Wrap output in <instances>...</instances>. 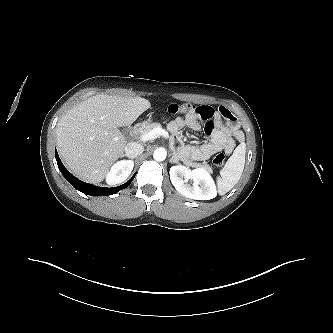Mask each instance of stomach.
Listing matches in <instances>:
<instances>
[{
    "label": "stomach",
    "mask_w": 333,
    "mask_h": 333,
    "mask_svg": "<svg viewBox=\"0 0 333 333\" xmlns=\"http://www.w3.org/2000/svg\"><path fill=\"white\" fill-rule=\"evenodd\" d=\"M151 120V117L148 119V121H150Z\"/></svg>",
    "instance_id": "obj_1"
}]
</instances>
